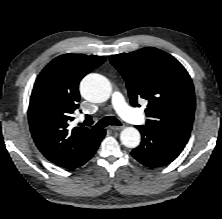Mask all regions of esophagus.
Wrapping results in <instances>:
<instances>
[{
  "mask_svg": "<svg viewBox=\"0 0 222 219\" xmlns=\"http://www.w3.org/2000/svg\"><path fill=\"white\" fill-rule=\"evenodd\" d=\"M123 128H124L123 126H111L110 127V129L113 130V131H118V130H121Z\"/></svg>",
  "mask_w": 222,
  "mask_h": 219,
  "instance_id": "obj_1",
  "label": "esophagus"
}]
</instances>
